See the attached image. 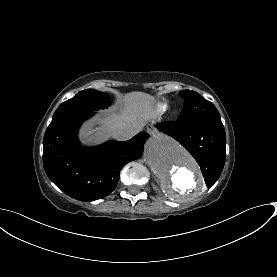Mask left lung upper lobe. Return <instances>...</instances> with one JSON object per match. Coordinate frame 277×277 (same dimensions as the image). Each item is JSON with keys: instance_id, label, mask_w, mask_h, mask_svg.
Returning <instances> with one entry per match:
<instances>
[{"instance_id": "5c2ea615", "label": "left lung upper lobe", "mask_w": 277, "mask_h": 277, "mask_svg": "<svg viewBox=\"0 0 277 277\" xmlns=\"http://www.w3.org/2000/svg\"><path fill=\"white\" fill-rule=\"evenodd\" d=\"M180 95L184 99V110L178 121L190 122L209 118L220 119L217 109L197 92L183 90Z\"/></svg>"}]
</instances>
